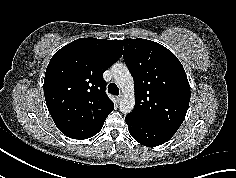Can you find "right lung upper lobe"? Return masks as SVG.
<instances>
[{
    "mask_svg": "<svg viewBox=\"0 0 236 178\" xmlns=\"http://www.w3.org/2000/svg\"><path fill=\"white\" fill-rule=\"evenodd\" d=\"M122 54L121 40L80 38L51 58L45 73L44 95L63 134L82 140L101 130L114 105L105 93L102 75Z\"/></svg>",
    "mask_w": 236,
    "mask_h": 178,
    "instance_id": "right-lung-upper-lobe-1",
    "label": "right lung upper lobe"
}]
</instances>
